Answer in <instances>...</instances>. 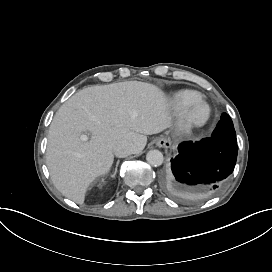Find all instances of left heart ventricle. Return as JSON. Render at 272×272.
<instances>
[{
    "instance_id": "left-heart-ventricle-1",
    "label": "left heart ventricle",
    "mask_w": 272,
    "mask_h": 272,
    "mask_svg": "<svg viewBox=\"0 0 272 272\" xmlns=\"http://www.w3.org/2000/svg\"><path fill=\"white\" fill-rule=\"evenodd\" d=\"M208 108L204 102H197L189 109V117L192 121L200 123L206 120Z\"/></svg>"
}]
</instances>
